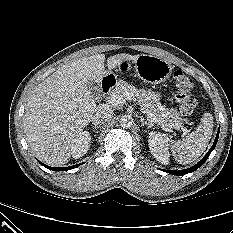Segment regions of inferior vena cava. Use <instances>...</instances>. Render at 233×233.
I'll list each match as a JSON object with an SVG mask.
<instances>
[{
	"instance_id": "602c4592",
	"label": "inferior vena cava",
	"mask_w": 233,
	"mask_h": 233,
	"mask_svg": "<svg viewBox=\"0 0 233 233\" xmlns=\"http://www.w3.org/2000/svg\"><path fill=\"white\" fill-rule=\"evenodd\" d=\"M113 117V110L108 105H99L92 116L91 121L94 125H101Z\"/></svg>"
}]
</instances>
